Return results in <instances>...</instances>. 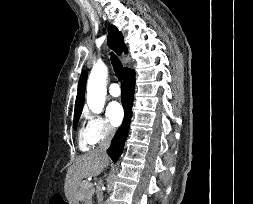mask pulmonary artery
<instances>
[{"label":"pulmonary artery","mask_w":253,"mask_h":204,"mask_svg":"<svg viewBox=\"0 0 253 204\" xmlns=\"http://www.w3.org/2000/svg\"><path fill=\"white\" fill-rule=\"evenodd\" d=\"M109 93L113 97H118L121 94V89L117 83H112L109 86Z\"/></svg>","instance_id":"1"}]
</instances>
